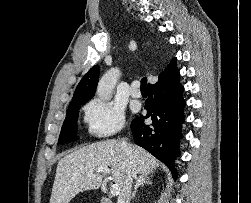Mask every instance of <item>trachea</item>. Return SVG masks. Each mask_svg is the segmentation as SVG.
<instances>
[{"mask_svg": "<svg viewBox=\"0 0 251 203\" xmlns=\"http://www.w3.org/2000/svg\"><path fill=\"white\" fill-rule=\"evenodd\" d=\"M141 90H147V77H143L141 79V86H140Z\"/></svg>", "mask_w": 251, "mask_h": 203, "instance_id": "obj_1", "label": "trachea"}]
</instances>
